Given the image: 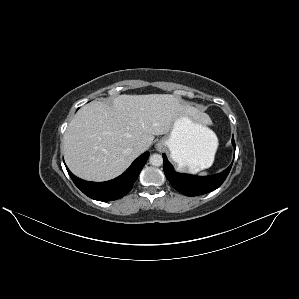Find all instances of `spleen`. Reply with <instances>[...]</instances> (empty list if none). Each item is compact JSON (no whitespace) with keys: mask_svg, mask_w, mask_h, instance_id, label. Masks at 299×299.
I'll return each instance as SVG.
<instances>
[{"mask_svg":"<svg viewBox=\"0 0 299 299\" xmlns=\"http://www.w3.org/2000/svg\"><path fill=\"white\" fill-rule=\"evenodd\" d=\"M208 122V121H207ZM210 133H211V135L213 136L214 134H213V131H211L210 130ZM212 164H210L209 166H207V167H205V168H208V167H210ZM202 169H204V168H202ZM202 169H198V168H196V167H194V166H189V171L190 172H192V173H196V172H198V171H200V170H202ZM201 175H203V176H205V175H207L208 173L207 172H201L200 173Z\"/></svg>","mask_w":299,"mask_h":299,"instance_id":"obj_1","label":"spleen"}]
</instances>
